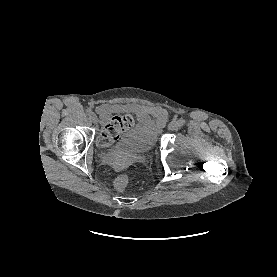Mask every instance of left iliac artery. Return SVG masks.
I'll use <instances>...</instances> for the list:
<instances>
[{"mask_svg": "<svg viewBox=\"0 0 277 277\" xmlns=\"http://www.w3.org/2000/svg\"><path fill=\"white\" fill-rule=\"evenodd\" d=\"M179 126H184L185 125V120L184 119H179L178 120Z\"/></svg>", "mask_w": 277, "mask_h": 277, "instance_id": "left-iliac-artery-1", "label": "left iliac artery"}]
</instances>
